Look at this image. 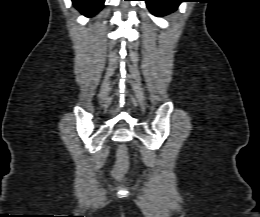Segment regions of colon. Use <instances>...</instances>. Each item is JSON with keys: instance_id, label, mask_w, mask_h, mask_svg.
<instances>
[{"instance_id": "1", "label": "colon", "mask_w": 260, "mask_h": 217, "mask_svg": "<svg viewBox=\"0 0 260 217\" xmlns=\"http://www.w3.org/2000/svg\"><path fill=\"white\" fill-rule=\"evenodd\" d=\"M117 153V164L112 171V178L120 181L123 180L128 172V164H127V157H128V150L127 147L123 144H118L116 148Z\"/></svg>"}]
</instances>
